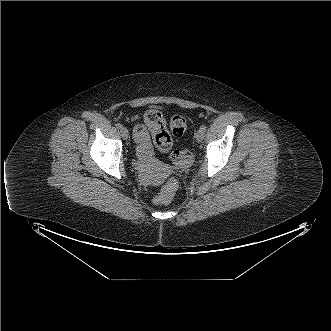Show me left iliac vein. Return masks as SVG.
<instances>
[{"mask_svg":"<svg viewBox=\"0 0 331 331\" xmlns=\"http://www.w3.org/2000/svg\"><path fill=\"white\" fill-rule=\"evenodd\" d=\"M195 138H196V141H197V142H202L203 139H204V132H203L201 129H199V130L196 132Z\"/></svg>","mask_w":331,"mask_h":331,"instance_id":"1","label":"left iliac vein"}]
</instances>
